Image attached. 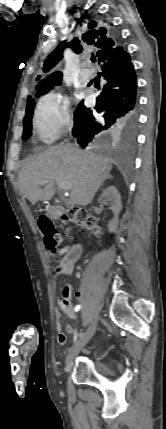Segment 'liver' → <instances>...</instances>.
I'll return each instance as SVG.
<instances>
[{
    "mask_svg": "<svg viewBox=\"0 0 166 429\" xmlns=\"http://www.w3.org/2000/svg\"><path fill=\"white\" fill-rule=\"evenodd\" d=\"M110 159L71 145H58L30 158L19 174V189L33 205L52 199L53 184H72L71 204H90L96 191L110 176ZM43 181H47L43 183ZM40 185H46L41 189Z\"/></svg>",
    "mask_w": 166,
    "mask_h": 429,
    "instance_id": "liver-1",
    "label": "liver"
}]
</instances>
